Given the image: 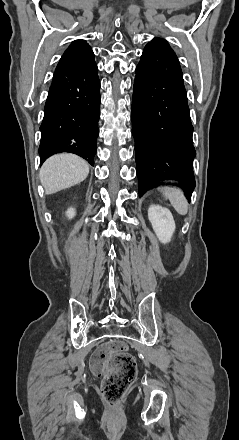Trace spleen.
<instances>
[{
	"instance_id": "3e777b00",
	"label": "spleen",
	"mask_w": 239,
	"mask_h": 440,
	"mask_svg": "<svg viewBox=\"0 0 239 440\" xmlns=\"http://www.w3.org/2000/svg\"><path fill=\"white\" fill-rule=\"evenodd\" d=\"M158 190L162 192L166 200H169L170 204H172L178 214H181V216L187 214L188 202L182 190H179V188H158Z\"/></svg>"
}]
</instances>
